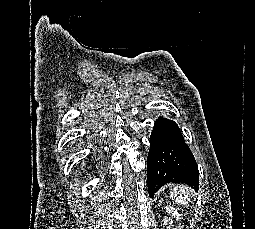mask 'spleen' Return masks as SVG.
Segmentation results:
<instances>
[{"label": "spleen", "mask_w": 255, "mask_h": 229, "mask_svg": "<svg viewBox=\"0 0 255 229\" xmlns=\"http://www.w3.org/2000/svg\"><path fill=\"white\" fill-rule=\"evenodd\" d=\"M193 196L192 190L187 186H174L171 189V198L176 201V203L186 204V200Z\"/></svg>", "instance_id": "spleen-1"}]
</instances>
